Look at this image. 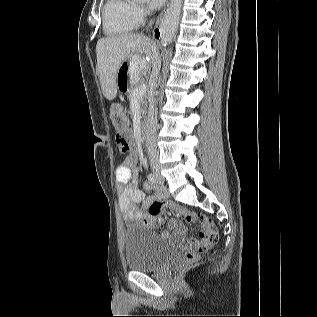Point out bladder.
Returning a JSON list of instances; mask_svg holds the SVG:
<instances>
[{"label": "bladder", "instance_id": "1", "mask_svg": "<svg viewBox=\"0 0 317 317\" xmlns=\"http://www.w3.org/2000/svg\"><path fill=\"white\" fill-rule=\"evenodd\" d=\"M174 240L157 237L144 226H130L124 233L125 264L129 270L155 271L177 256Z\"/></svg>", "mask_w": 317, "mask_h": 317}]
</instances>
